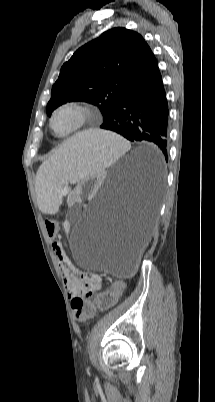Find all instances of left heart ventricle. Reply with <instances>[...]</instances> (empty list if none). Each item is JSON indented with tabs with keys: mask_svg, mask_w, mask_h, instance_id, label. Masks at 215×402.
Returning <instances> with one entry per match:
<instances>
[{
	"mask_svg": "<svg viewBox=\"0 0 215 402\" xmlns=\"http://www.w3.org/2000/svg\"><path fill=\"white\" fill-rule=\"evenodd\" d=\"M76 115L69 111L61 112L54 120V127L58 133L70 130L76 123Z\"/></svg>",
	"mask_w": 215,
	"mask_h": 402,
	"instance_id": "left-heart-ventricle-1",
	"label": "left heart ventricle"
}]
</instances>
